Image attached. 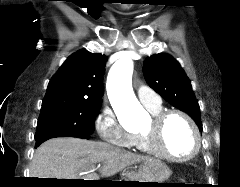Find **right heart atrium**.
Masks as SVG:
<instances>
[{"instance_id": "right-heart-atrium-1", "label": "right heart atrium", "mask_w": 240, "mask_h": 187, "mask_svg": "<svg viewBox=\"0 0 240 187\" xmlns=\"http://www.w3.org/2000/svg\"><path fill=\"white\" fill-rule=\"evenodd\" d=\"M95 127L104 142L118 147L133 146L134 136L123 129L111 108L106 107L101 111Z\"/></svg>"}]
</instances>
